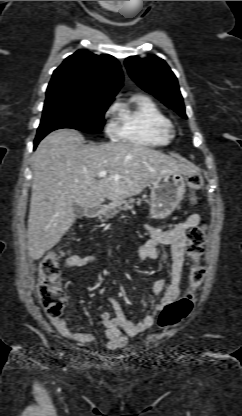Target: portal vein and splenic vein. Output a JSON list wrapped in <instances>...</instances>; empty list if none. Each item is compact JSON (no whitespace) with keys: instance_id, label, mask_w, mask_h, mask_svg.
I'll return each instance as SVG.
<instances>
[{"instance_id":"1","label":"portal vein and splenic vein","mask_w":242,"mask_h":416,"mask_svg":"<svg viewBox=\"0 0 242 416\" xmlns=\"http://www.w3.org/2000/svg\"><path fill=\"white\" fill-rule=\"evenodd\" d=\"M107 173H108V171H106V170L100 171L98 173V177H100V178L105 177L107 175Z\"/></svg>"}]
</instances>
